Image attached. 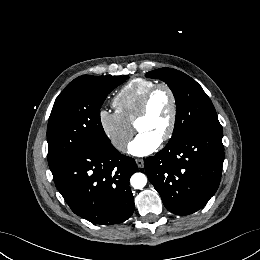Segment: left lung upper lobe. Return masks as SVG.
I'll return each mask as SVG.
<instances>
[{"label":"left lung upper lobe","instance_id":"5c2ea615","mask_svg":"<svg viewBox=\"0 0 260 260\" xmlns=\"http://www.w3.org/2000/svg\"><path fill=\"white\" fill-rule=\"evenodd\" d=\"M166 82L176 100V120L168 143L180 140L189 132L210 125H220L215 108L202 87L191 77L172 68H160L146 74Z\"/></svg>","mask_w":260,"mask_h":260}]
</instances>
